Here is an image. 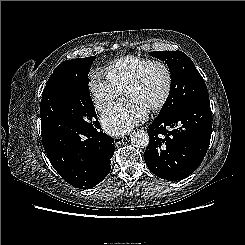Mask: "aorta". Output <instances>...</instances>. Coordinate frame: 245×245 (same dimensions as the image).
Instances as JSON below:
<instances>
[{"instance_id":"aorta-1","label":"aorta","mask_w":245,"mask_h":245,"mask_svg":"<svg viewBox=\"0 0 245 245\" xmlns=\"http://www.w3.org/2000/svg\"><path fill=\"white\" fill-rule=\"evenodd\" d=\"M131 143L137 148H144L149 143V135L142 129L135 130L131 134Z\"/></svg>"}]
</instances>
